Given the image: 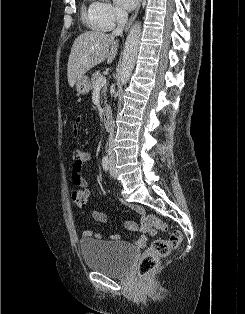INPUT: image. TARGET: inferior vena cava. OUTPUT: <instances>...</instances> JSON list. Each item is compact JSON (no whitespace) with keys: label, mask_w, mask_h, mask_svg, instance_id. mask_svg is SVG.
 <instances>
[{"label":"inferior vena cava","mask_w":245,"mask_h":314,"mask_svg":"<svg viewBox=\"0 0 245 314\" xmlns=\"http://www.w3.org/2000/svg\"><path fill=\"white\" fill-rule=\"evenodd\" d=\"M128 21V13L126 11H118L117 13V27L116 29L112 32V35L115 36H122L124 26ZM114 122L111 123V129H110V137H109V147H108V159L111 163L115 162V155L113 151V136H114Z\"/></svg>","instance_id":"602c4592"}]
</instances>
